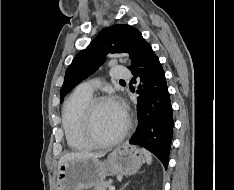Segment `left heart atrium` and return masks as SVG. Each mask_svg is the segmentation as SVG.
I'll return each mask as SVG.
<instances>
[{"label": "left heart atrium", "mask_w": 234, "mask_h": 190, "mask_svg": "<svg viewBox=\"0 0 234 190\" xmlns=\"http://www.w3.org/2000/svg\"><path fill=\"white\" fill-rule=\"evenodd\" d=\"M112 104L114 105L117 112L125 119V110H124L123 105L121 104V102L118 101V100H115V101L112 102Z\"/></svg>", "instance_id": "obj_1"}]
</instances>
